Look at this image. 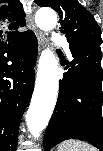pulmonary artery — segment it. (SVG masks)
<instances>
[{
  "label": "pulmonary artery",
  "mask_w": 103,
  "mask_h": 151,
  "mask_svg": "<svg viewBox=\"0 0 103 151\" xmlns=\"http://www.w3.org/2000/svg\"><path fill=\"white\" fill-rule=\"evenodd\" d=\"M52 40L55 43L60 44L65 49V51L69 52V43L66 41L64 37H62L59 34H53Z\"/></svg>",
  "instance_id": "e3ab8cb5"
}]
</instances>
